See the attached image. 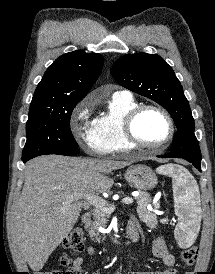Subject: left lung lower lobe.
<instances>
[{"mask_svg": "<svg viewBox=\"0 0 215 274\" xmlns=\"http://www.w3.org/2000/svg\"><path fill=\"white\" fill-rule=\"evenodd\" d=\"M161 158H183L185 160H187L188 162L192 163L195 168L199 169V171H201V157H193V156H187V155H183V154H177V153H169L166 154L164 156H158Z\"/></svg>", "mask_w": 215, "mask_h": 274, "instance_id": "0a47b994", "label": "left lung lower lobe"}]
</instances>
